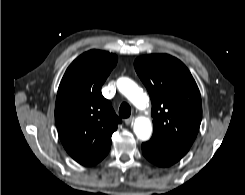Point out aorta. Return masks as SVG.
Instances as JSON below:
<instances>
[{
  "mask_svg": "<svg viewBox=\"0 0 245 195\" xmlns=\"http://www.w3.org/2000/svg\"><path fill=\"white\" fill-rule=\"evenodd\" d=\"M119 91L137 108H145L148 98L139 86L129 78H120L117 82ZM134 133L140 140H148L152 133V124L148 118L139 117L134 123Z\"/></svg>",
  "mask_w": 245,
  "mask_h": 195,
  "instance_id": "aorta-1",
  "label": "aorta"
}]
</instances>
